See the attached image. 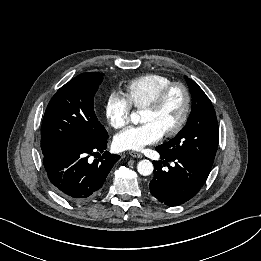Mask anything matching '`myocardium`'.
Wrapping results in <instances>:
<instances>
[{"label": "myocardium", "mask_w": 261, "mask_h": 261, "mask_svg": "<svg viewBox=\"0 0 261 261\" xmlns=\"http://www.w3.org/2000/svg\"><path fill=\"white\" fill-rule=\"evenodd\" d=\"M175 89L181 90L184 95V108L177 124L169 131L163 133V135L168 138L179 134L188 121L190 111H191V103H192L191 93L188 87L181 82H172L171 84H169L159 92L156 99L151 104H149L144 108V110L153 113L159 112L163 107V105L165 104L171 92Z\"/></svg>", "instance_id": "f54148a6"}]
</instances>
